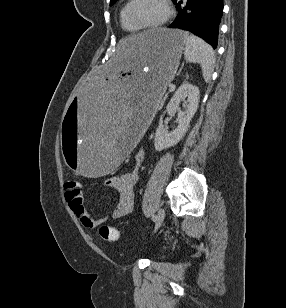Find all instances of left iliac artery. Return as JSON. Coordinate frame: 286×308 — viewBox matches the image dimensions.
<instances>
[{"instance_id": "left-iliac-artery-1", "label": "left iliac artery", "mask_w": 286, "mask_h": 308, "mask_svg": "<svg viewBox=\"0 0 286 308\" xmlns=\"http://www.w3.org/2000/svg\"><path fill=\"white\" fill-rule=\"evenodd\" d=\"M152 220H153L154 222L156 221V216H155V215L152 216Z\"/></svg>"}]
</instances>
